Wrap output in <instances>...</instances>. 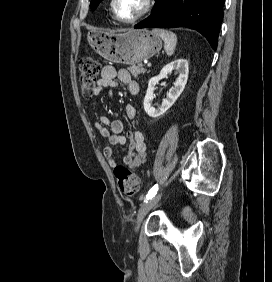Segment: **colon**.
<instances>
[{"instance_id": "colon-1", "label": "colon", "mask_w": 272, "mask_h": 282, "mask_svg": "<svg viewBox=\"0 0 272 282\" xmlns=\"http://www.w3.org/2000/svg\"><path fill=\"white\" fill-rule=\"evenodd\" d=\"M81 85L83 95L91 97L98 85L100 66L92 55L84 56L80 61ZM120 192L127 197L134 196L140 188L139 177L124 166L114 169Z\"/></svg>"}]
</instances>
